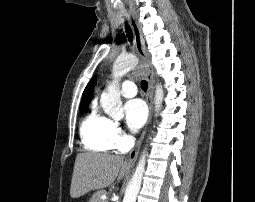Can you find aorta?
I'll return each instance as SVG.
<instances>
[{"mask_svg":"<svg viewBox=\"0 0 255 202\" xmlns=\"http://www.w3.org/2000/svg\"><path fill=\"white\" fill-rule=\"evenodd\" d=\"M139 63V59L132 55L127 54L119 56L113 65V82L110 84L108 89L101 95V104L106 114L114 119L123 117L122 102L120 97V78L135 68ZM164 97V91L160 84H156L155 89V111L158 112L162 105ZM146 164V150L143 151L139 162L136 166L135 172L126 188L123 202H136L137 195L140 191L142 178L145 171Z\"/></svg>","mask_w":255,"mask_h":202,"instance_id":"762f6f07","label":"aorta"}]
</instances>
